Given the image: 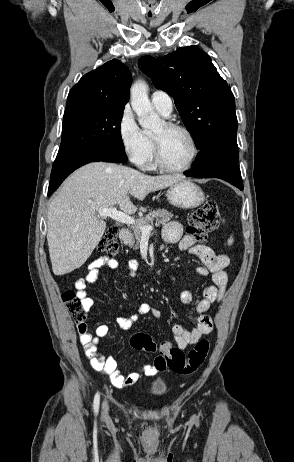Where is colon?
<instances>
[{
  "mask_svg": "<svg viewBox=\"0 0 294 462\" xmlns=\"http://www.w3.org/2000/svg\"><path fill=\"white\" fill-rule=\"evenodd\" d=\"M222 217L219 206L216 202H206L201 205L191 216L187 227V234L202 243L207 233L215 230L221 223ZM118 229L115 226L109 227L98 245V249L110 256H115L119 252L116 241ZM62 300L65 303L72 319L75 323L84 322L85 308L82 300L72 290H65L62 293ZM131 345L137 350L155 352L156 343L145 334L138 333L131 338ZM209 352V342L200 340L187 353L179 348L168 344L162 346L160 355L154 359V365L160 370H170L179 374H191L195 372L205 361Z\"/></svg>",
  "mask_w": 294,
  "mask_h": 462,
  "instance_id": "5ec220e1",
  "label": "colon"
}]
</instances>
